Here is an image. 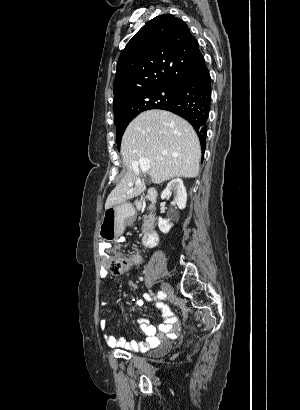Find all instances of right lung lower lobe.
<instances>
[{
    "label": "right lung lower lobe",
    "mask_w": 300,
    "mask_h": 410,
    "mask_svg": "<svg viewBox=\"0 0 300 410\" xmlns=\"http://www.w3.org/2000/svg\"><path fill=\"white\" fill-rule=\"evenodd\" d=\"M210 103L211 79L203 60L183 78L173 100L159 109L171 111L186 119L195 129L203 153Z\"/></svg>",
    "instance_id": "98d812e1"
}]
</instances>
